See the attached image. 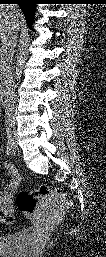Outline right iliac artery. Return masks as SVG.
Segmentation results:
<instances>
[{
    "label": "right iliac artery",
    "instance_id": "82829eb1",
    "mask_svg": "<svg viewBox=\"0 0 106 257\" xmlns=\"http://www.w3.org/2000/svg\"><path fill=\"white\" fill-rule=\"evenodd\" d=\"M5 150H6V154L10 155L11 151H12V147L10 146L9 142H7L6 146H5Z\"/></svg>",
    "mask_w": 106,
    "mask_h": 257
}]
</instances>
